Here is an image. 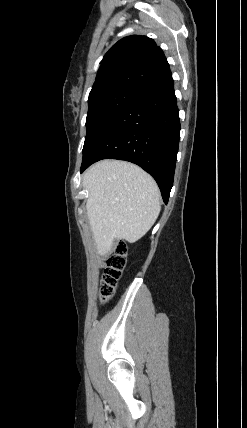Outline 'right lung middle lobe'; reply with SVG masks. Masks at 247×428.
Masks as SVG:
<instances>
[{
    "mask_svg": "<svg viewBox=\"0 0 247 428\" xmlns=\"http://www.w3.org/2000/svg\"><path fill=\"white\" fill-rule=\"evenodd\" d=\"M139 93L127 88H112L89 95L83 154L110 120Z\"/></svg>",
    "mask_w": 247,
    "mask_h": 428,
    "instance_id": "right-lung-middle-lobe-1",
    "label": "right lung middle lobe"
}]
</instances>
